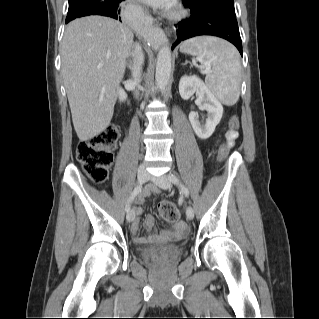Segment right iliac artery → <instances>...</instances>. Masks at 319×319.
Listing matches in <instances>:
<instances>
[{"label":"right iliac artery","instance_id":"right-iliac-artery-1","mask_svg":"<svg viewBox=\"0 0 319 319\" xmlns=\"http://www.w3.org/2000/svg\"><path fill=\"white\" fill-rule=\"evenodd\" d=\"M142 190V186L139 185L137 187L134 188L133 192L131 193L129 199H128V202L126 204V207H125V210L126 212H129L130 210V205H131V202L135 199V197L141 192Z\"/></svg>","mask_w":319,"mask_h":319}]
</instances>
